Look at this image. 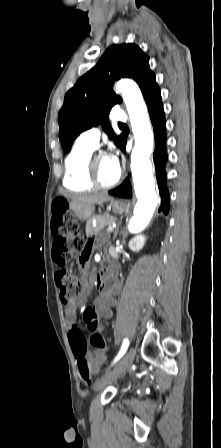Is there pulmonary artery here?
I'll use <instances>...</instances> for the list:
<instances>
[{
  "label": "pulmonary artery",
  "instance_id": "obj_1",
  "mask_svg": "<svg viewBox=\"0 0 221 448\" xmlns=\"http://www.w3.org/2000/svg\"><path fill=\"white\" fill-rule=\"evenodd\" d=\"M110 119L114 122L124 123L126 121V114L120 109H115L112 111ZM100 136V128L92 127L85 130L79 135L78 142L95 149L99 146Z\"/></svg>",
  "mask_w": 221,
  "mask_h": 448
}]
</instances>
